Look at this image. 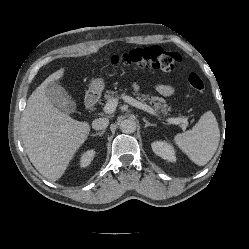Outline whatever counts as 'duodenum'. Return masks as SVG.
Segmentation results:
<instances>
[{
    "mask_svg": "<svg viewBox=\"0 0 249 249\" xmlns=\"http://www.w3.org/2000/svg\"><path fill=\"white\" fill-rule=\"evenodd\" d=\"M98 100V93L97 91H89L85 98V107L87 110H90L94 107Z\"/></svg>",
    "mask_w": 249,
    "mask_h": 249,
    "instance_id": "obj_1",
    "label": "duodenum"
}]
</instances>
